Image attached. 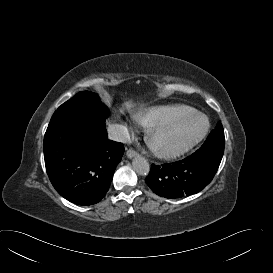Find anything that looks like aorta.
I'll return each mask as SVG.
<instances>
[{"mask_svg":"<svg viewBox=\"0 0 273 273\" xmlns=\"http://www.w3.org/2000/svg\"><path fill=\"white\" fill-rule=\"evenodd\" d=\"M132 165L138 175L146 176L150 171V165L147 160L139 155L133 159Z\"/></svg>","mask_w":273,"mask_h":273,"instance_id":"1","label":"aorta"}]
</instances>
